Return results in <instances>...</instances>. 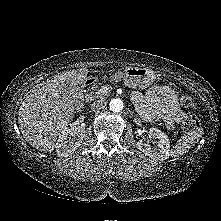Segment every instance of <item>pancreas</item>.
Instances as JSON below:
<instances>
[{
	"mask_svg": "<svg viewBox=\"0 0 221 221\" xmlns=\"http://www.w3.org/2000/svg\"><path fill=\"white\" fill-rule=\"evenodd\" d=\"M102 87L107 88V91L105 93H99L98 92L99 90H96L95 92L91 91L89 94H87V98L90 100H94V98H101V100L104 99L105 96L109 95V93H110L109 89H111V87H109V86H102ZM95 89H97V86L92 87V90H95Z\"/></svg>",
	"mask_w": 221,
	"mask_h": 221,
	"instance_id": "pancreas-1",
	"label": "pancreas"
}]
</instances>
